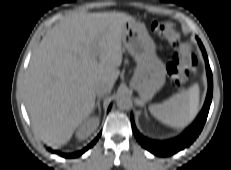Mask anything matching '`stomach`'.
Returning <instances> with one entry per match:
<instances>
[{
  "mask_svg": "<svg viewBox=\"0 0 231 170\" xmlns=\"http://www.w3.org/2000/svg\"><path fill=\"white\" fill-rule=\"evenodd\" d=\"M124 47L135 58L138 67L135 87L142 96L165 82L166 68L156 57L155 44L142 23L132 21L123 27Z\"/></svg>",
  "mask_w": 231,
  "mask_h": 170,
  "instance_id": "0dacf381",
  "label": "stomach"
}]
</instances>
